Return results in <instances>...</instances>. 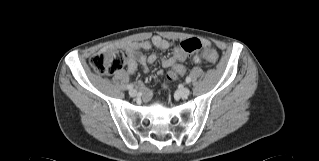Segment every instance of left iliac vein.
<instances>
[{
	"label": "left iliac vein",
	"instance_id": "left-iliac-vein-1",
	"mask_svg": "<svg viewBox=\"0 0 319 161\" xmlns=\"http://www.w3.org/2000/svg\"><path fill=\"white\" fill-rule=\"evenodd\" d=\"M177 94L180 98H187L190 94V90L189 88H183L179 90Z\"/></svg>",
	"mask_w": 319,
	"mask_h": 161
}]
</instances>
